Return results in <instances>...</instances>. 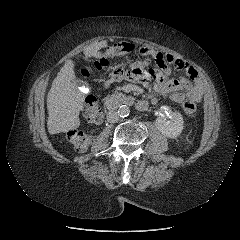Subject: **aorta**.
Segmentation results:
<instances>
[{"instance_id": "aorta-1", "label": "aorta", "mask_w": 240, "mask_h": 240, "mask_svg": "<svg viewBox=\"0 0 240 240\" xmlns=\"http://www.w3.org/2000/svg\"><path fill=\"white\" fill-rule=\"evenodd\" d=\"M117 113L120 117H127L130 114V108L127 105H121Z\"/></svg>"}]
</instances>
